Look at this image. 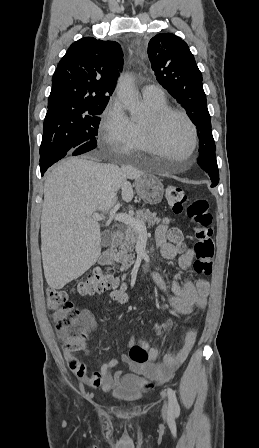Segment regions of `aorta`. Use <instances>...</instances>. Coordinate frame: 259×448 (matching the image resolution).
Wrapping results in <instances>:
<instances>
[{"mask_svg":"<svg viewBox=\"0 0 259 448\" xmlns=\"http://www.w3.org/2000/svg\"><path fill=\"white\" fill-rule=\"evenodd\" d=\"M117 97L121 100L126 109L133 117H137L142 111L138 92L134 87L131 76L121 75L116 85Z\"/></svg>","mask_w":259,"mask_h":448,"instance_id":"obj_1","label":"aorta"}]
</instances>
